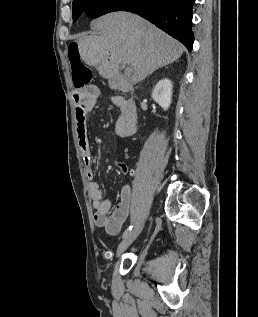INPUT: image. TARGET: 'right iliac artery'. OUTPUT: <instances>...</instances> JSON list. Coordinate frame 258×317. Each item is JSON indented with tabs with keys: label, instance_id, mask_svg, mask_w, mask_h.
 Returning <instances> with one entry per match:
<instances>
[{
	"label": "right iliac artery",
	"instance_id": "82829eb1",
	"mask_svg": "<svg viewBox=\"0 0 258 317\" xmlns=\"http://www.w3.org/2000/svg\"><path fill=\"white\" fill-rule=\"evenodd\" d=\"M132 228H133V225H130V226L124 231V233H123V235H122V238H125V237L130 233V231L132 230Z\"/></svg>",
	"mask_w": 258,
	"mask_h": 317
}]
</instances>
